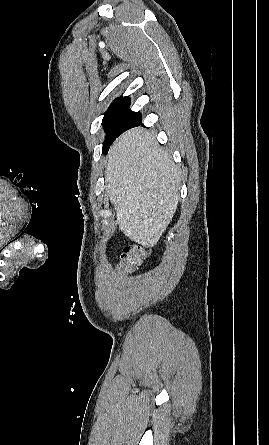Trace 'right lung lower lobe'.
I'll use <instances>...</instances> for the list:
<instances>
[{
  "label": "right lung lower lobe",
  "mask_w": 269,
  "mask_h": 445,
  "mask_svg": "<svg viewBox=\"0 0 269 445\" xmlns=\"http://www.w3.org/2000/svg\"><path fill=\"white\" fill-rule=\"evenodd\" d=\"M142 121V120H141ZM141 121L140 122H138L135 126H138V125H140L141 124ZM135 126H133V127H135Z\"/></svg>",
  "instance_id": "obj_1"
}]
</instances>
